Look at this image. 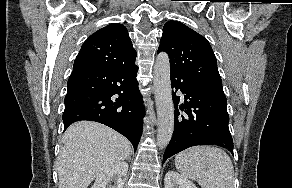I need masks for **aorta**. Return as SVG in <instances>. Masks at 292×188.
<instances>
[{
	"label": "aorta",
	"instance_id": "1",
	"mask_svg": "<svg viewBox=\"0 0 292 188\" xmlns=\"http://www.w3.org/2000/svg\"><path fill=\"white\" fill-rule=\"evenodd\" d=\"M154 94L157 107V145L165 148L174 131V104L170 81V59L165 52L157 55L154 65Z\"/></svg>",
	"mask_w": 292,
	"mask_h": 188
}]
</instances>
